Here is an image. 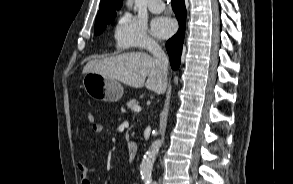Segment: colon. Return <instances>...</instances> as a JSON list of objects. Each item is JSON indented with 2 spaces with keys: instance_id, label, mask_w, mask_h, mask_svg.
I'll use <instances>...</instances> for the list:
<instances>
[{
  "instance_id": "5ec220e1",
  "label": "colon",
  "mask_w": 293,
  "mask_h": 184,
  "mask_svg": "<svg viewBox=\"0 0 293 184\" xmlns=\"http://www.w3.org/2000/svg\"><path fill=\"white\" fill-rule=\"evenodd\" d=\"M87 119H88L89 123H92V124L95 123V116L93 113H89L87 115Z\"/></svg>"
}]
</instances>
